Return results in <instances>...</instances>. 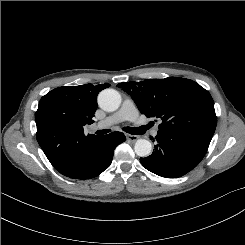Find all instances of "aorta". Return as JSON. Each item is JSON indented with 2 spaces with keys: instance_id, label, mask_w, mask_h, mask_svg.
Returning <instances> with one entry per match:
<instances>
[{
  "instance_id": "762f6f07",
  "label": "aorta",
  "mask_w": 245,
  "mask_h": 245,
  "mask_svg": "<svg viewBox=\"0 0 245 245\" xmlns=\"http://www.w3.org/2000/svg\"><path fill=\"white\" fill-rule=\"evenodd\" d=\"M98 104L107 112L116 111L121 104V96L114 89H105L99 93ZM152 150V144L146 139H138L134 146L135 153L140 157H147Z\"/></svg>"
}]
</instances>
